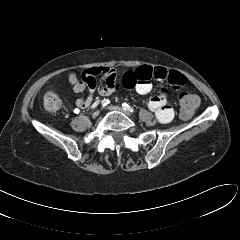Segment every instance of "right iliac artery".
Masks as SVG:
<instances>
[{"label":"right iliac artery","instance_id":"right-iliac-artery-1","mask_svg":"<svg viewBox=\"0 0 240 240\" xmlns=\"http://www.w3.org/2000/svg\"><path fill=\"white\" fill-rule=\"evenodd\" d=\"M109 103L110 101L108 99H104L102 100L101 105L104 107V106H107Z\"/></svg>","mask_w":240,"mask_h":240}]
</instances>
